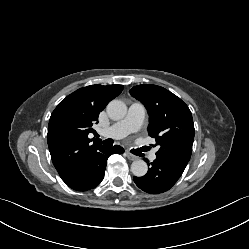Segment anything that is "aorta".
I'll list each match as a JSON object with an SVG mask.
<instances>
[{"label":"aorta","instance_id":"aorta-1","mask_svg":"<svg viewBox=\"0 0 249 249\" xmlns=\"http://www.w3.org/2000/svg\"><path fill=\"white\" fill-rule=\"evenodd\" d=\"M108 115L115 120H119L125 117L127 113V106L121 100H112L107 105ZM148 171L147 163L144 160H135L131 164V172L136 177H143Z\"/></svg>","mask_w":249,"mask_h":249}]
</instances>
